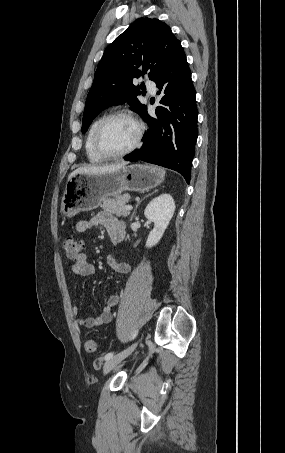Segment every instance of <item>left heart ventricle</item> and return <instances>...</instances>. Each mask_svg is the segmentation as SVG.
Returning a JSON list of instances; mask_svg holds the SVG:
<instances>
[{
    "label": "left heart ventricle",
    "mask_w": 285,
    "mask_h": 453,
    "mask_svg": "<svg viewBox=\"0 0 285 453\" xmlns=\"http://www.w3.org/2000/svg\"><path fill=\"white\" fill-rule=\"evenodd\" d=\"M137 136V127L129 119L119 117L109 121L101 135L102 147L110 153H117L129 148Z\"/></svg>",
    "instance_id": "b2bd125f"
}]
</instances>
